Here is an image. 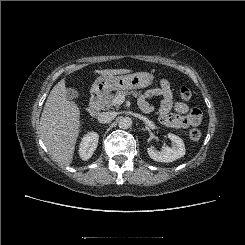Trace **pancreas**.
I'll use <instances>...</instances> for the list:
<instances>
[{
  "label": "pancreas",
  "instance_id": "pancreas-1",
  "mask_svg": "<svg viewBox=\"0 0 245 245\" xmlns=\"http://www.w3.org/2000/svg\"><path fill=\"white\" fill-rule=\"evenodd\" d=\"M132 94L134 97L136 98H139L140 97V92L138 93L137 91H127V90H118L115 94L113 93H108L106 94L100 104H101V107L103 109H112L113 107H117L118 105L114 104V99L119 96V95H123V96H127V95H130Z\"/></svg>",
  "mask_w": 245,
  "mask_h": 245
}]
</instances>
